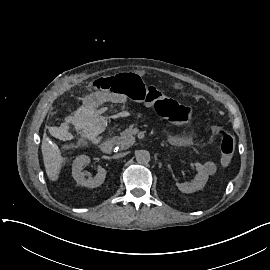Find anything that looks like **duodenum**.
<instances>
[{"instance_id":"obj_1","label":"duodenum","mask_w":270,"mask_h":270,"mask_svg":"<svg viewBox=\"0 0 270 270\" xmlns=\"http://www.w3.org/2000/svg\"><path fill=\"white\" fill-rule=\"evenodd\" d=\"M113 146L114 141L112 139H106L101 143L100 148L103 153L108 154L112 151Z\"/></svg>"}]
</instances>
